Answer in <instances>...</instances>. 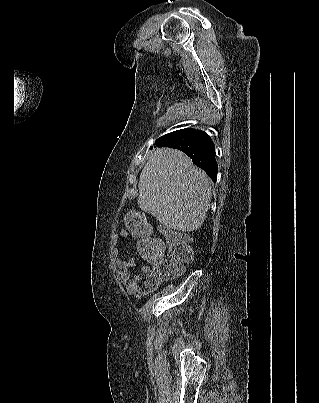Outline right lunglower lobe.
<instances>
[{
    "label": "right lung lower lobe",
    "instance_id": "1",
    "mask_svg": "<svg viewBox=\"0 0 319 403\" xmlns=\"http://www.w3.org/2000/svg\"><path fill=\"white\" fill-rule=\"evenodd\" d=\"M158 147L179 149L186 153L213 181L217 179L218 166L214 143L207 133L200 130L183 129L168 133L155 141Z\"/></svg>",
    "mask_w": 319,
    "mask_h": 403
}]
</instances>
